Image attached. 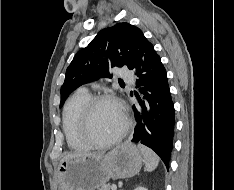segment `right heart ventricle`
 Instances as JSON below:
<instances>
[{
    "instance_id": "e07e8e85",
    "label": "right heart ventricle",
    "mask_w": 234,
    "mask_h": 190,
    "mask_svg": "<svg viewBox=\"0 0 234 190\" xmlns=\"http://www.w3.org/2000/svg\"><path fill=\"white\" fill-rule=\"evenodd\" d=\"M90 98L87 91H76L66 102L63 110V131L68 146L76 151L89 149L79 132V121L82 108Z\"/></svg>"
}]
</instances>
